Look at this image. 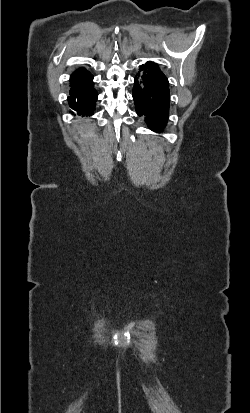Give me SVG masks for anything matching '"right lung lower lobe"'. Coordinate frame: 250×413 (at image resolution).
Returning <instances> with one entry per match:
<instances>
[{
	"label": "right lung lower lobe",
	"instance_id": "98d812e1",
	"mask_svg": "<svg viewBox=\"0 0 250 413\" xmlns=\"http://www.w3.org/2000/svg\"><path fill=\"white\" fill-rule=\"evenodd\" d=\"M93 86V76L90 74L79 80L71 81L68 102L78 115L87 117L94 114L98 94Z\"/></svg>",
	"mask_w": 250,
	"mask_h": 413
}]
</instances>
